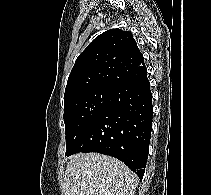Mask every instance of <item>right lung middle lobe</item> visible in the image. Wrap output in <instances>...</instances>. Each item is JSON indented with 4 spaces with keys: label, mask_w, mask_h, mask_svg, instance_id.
I'll list each match as a JSON object with an SVG mask.
<instances>
[{
    "label": "right lung middle lobe",
    "mask_w": 211,
    "mask_h": 195,
    "mask_svg": "<svg viewBox=\"0 0 211 195\" xmlns=\"http://www.w3.org/2000/svg\"><path fill=\"white\" fill-rule=\"evenodd\" d=\"M110 92L111 89L94 88L78 92L64 99L67 151L72 149L103 110Z\"/></svg>",
    "instance_id": "dd1d6c3e"
}]
</instances>
